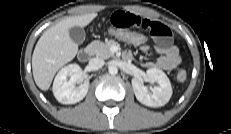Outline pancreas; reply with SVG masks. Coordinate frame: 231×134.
I'll return each instance as SVG.
<instances>
[{"instance_id": "cf45deb5", "label": "pancreas", "mask_w": 231, "mask_h": 134, "mask_svg": "<svg viewBox=\"0 0 231 134\" xmlns=\"http://www.w3.org/2000/svg\"><path fill=\"white\" fill-rule=\"evenodd\" d=\"M117 42L114 40H109L105 43L95 40L89 45V50L92 54L96 55L97 57L108 59L114 57V53L111 51V47L116 45Z\"/></svg>"}]
</instances>
